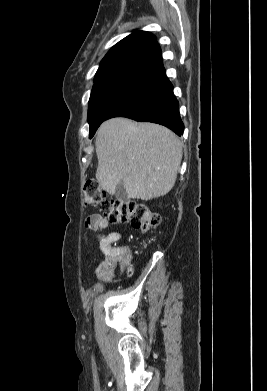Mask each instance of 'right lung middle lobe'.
<instances>
[{
    "label": "right lung middle lobe",
    "instance_id": "1",
    "mask_svg": "<svg viewBox=\"0 0 267 391\" xmlns=\"http://www.w3.org/2000/svg\"><path fill=\"white\" fill-rule=\"evenodd\" d=\"M152 78L138 74H113L95 79L88 106L90 138L114 108Z\"/></svg>",
    "mask_w": 267,
    "mask_h": 391
}]
</instances>
